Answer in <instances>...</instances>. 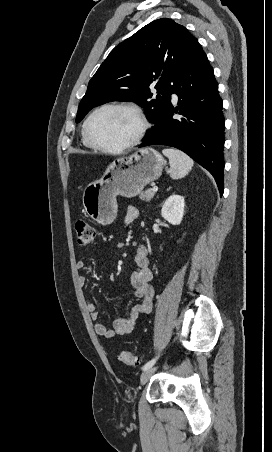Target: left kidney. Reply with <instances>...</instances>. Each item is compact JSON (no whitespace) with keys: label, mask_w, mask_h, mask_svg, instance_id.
<instances>
[{"label":"left kidney","mask_w":272,"mask_h":452,"mask_svg":"<svg viewBox=\"0 0 272 452\" xmlns=\"http://www.w3.org/2000/svg\"><path fill=\"white\" fill-rule=\"evenodd\" d=\"M185 200L183 196L173 194L164 202L161 215L172 225H179L184 215Z\"/></svg>","instance_id":"5707ae66"}]
</instances>
